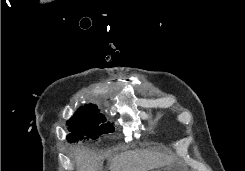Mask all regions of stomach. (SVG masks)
Returning a JSON list of instances; mask_svg holds the SVG:
<instances>
[{"label": "stomach", "mask_w": 245, "mask_h": 171, "mask_svg": "<svg viewBox=\"0 0 245 171\" xmlns=\"http://www.w3.org/2000/svg\"><path fill=\"white\" fill-rule=\"evenodd\" d=\"M155 171H170V170L167 169V168H162V169H157V170H155ZM184 171H187V170H184Z\"/></svg>", "instance_id": "stomach-1"}]
</instances>
